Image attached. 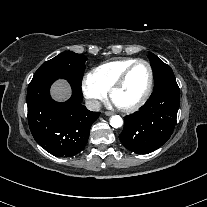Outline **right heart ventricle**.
<instances>
[{
  "label": "right heart ventricle",
  "instance_id": "obj_1",
  "mask_svg": "<svg viewBox=\"0 0 207 207\" xmlns=\"http://www.w3.org/2000/svg\"><path fill=\"white\" fill-rule=\"evenodd\" d=\"M134 61L135 59L123 58L105 62L94 68L90 76L107 92L120 74Z\"/></svg>",
  "mask_w": 207,
  "mask_h": 207
}]
</instances>
